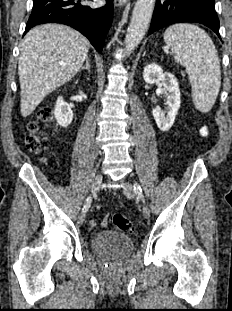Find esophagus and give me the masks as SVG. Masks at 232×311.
<instances>
[{"label":"esophagus","instance_id":"34e87169","mask_svg":"<svg viewBox=\"0 0 232 311\" xmlns=\"http://www.w3.org/2000/svg\"><path fill=\"white\" fill-rule=\"evenodd\" d=\"M128 0H114V3L117 7H122L127 3Z\"/></svg>","mask_w":232,"mask_h":311}]
</instances>
